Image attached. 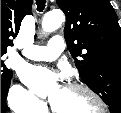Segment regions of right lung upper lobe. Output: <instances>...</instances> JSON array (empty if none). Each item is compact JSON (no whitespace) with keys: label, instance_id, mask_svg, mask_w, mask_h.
Instances as JSON below:
<instances>
[{"label":"right lung upper lobe","instance_id":"obj_1","mask_svg":"<svg viewBox=\"0 0 121 113\" xmlns=\"http://www.w3.org/2000/svg\"><path fill=\"white\" fill-rule=\"evenodd\" d=\"M32 0H1V52L13 45L21 22L25 15L31 13Z\"/></svg>","mask_w":121,"mask_h":113}]
</instances>
